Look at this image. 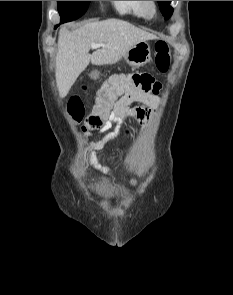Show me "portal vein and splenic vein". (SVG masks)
<instances>
[{
  "label": "portal vein and splenic vein",
  "mask_w": 233,
  "mask_h": 295,
  "mask_svg": "<svg viewBox=\"0 0 233 295\" xmlns=\"http://www.w3.org/2000/svg\"><path fill=\"white\" fill-rule=\"evenodd\" d=\"M102 46H104V45L103 44H96V43L91 44V48H93V49H97V48L102 47Z\"/></svg>",
  "instance_id": "portal-vein-and-splenic-vein-1"
}]
</instances>
